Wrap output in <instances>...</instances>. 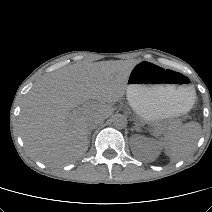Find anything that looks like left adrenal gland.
<instances>
[{
  "label": "left adrenal gland",
  "instance_id": "1",
  "mask_svg": "<svg viewBox=\"0 0 212 212\" xmlns=\"http://www.w3.org/2000/svg\"><path fill=\"white\" fill-rule=\"evenodd\" d=\"M133 129L136 130V131H138V130H139L138 125L136 124L135 127H134Z\"/></svg>",
  "mask_w": 212,
  "mask_h": 212
}]
</instances>
